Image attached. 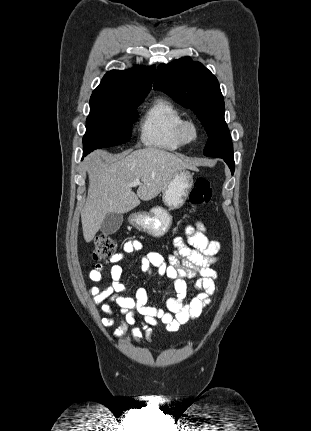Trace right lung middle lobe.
<instances>
[{
  "label": "right lung middle lobe",
  "instance_id": "dd1d6c3e",
  "mask_svg": "<svg viewBox=\"0 0 311 431\" xmlns=\"http://www.w3.org/2000/svg\"><path fill=\"white\" fill-rule=\"evenodd\" d=\"M144 98L92 95L83 137L84 154L127 142L131 138L136 109Z\"/></svg>",
  "mask_w": 311,
  "mask_h": 431
}]
</instances>
